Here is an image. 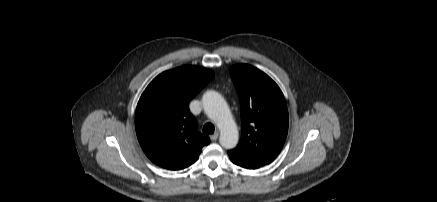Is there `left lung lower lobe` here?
Instances as JSON below:
<instances>
[{
  "instance_id": "left-lung-lower-lobe-1",
  "label": "left lung lower lobe",
  "mask_w": 437,
  "mask_h": 202,
  "mask_svg": "<svg viewBox=\"0 0 437 202\" xmlns=\"http://www.w3.org/2000/svg\"><path fill=\"white\" fill-rule=\"evenodd\" d=\"M229 157H230L231 161L238 166H241V167L246 168V169H256L255 167L248 165L247 163L243 162L242 160H240L232 155H229Z\"/></svg>"
}]
</instances>
